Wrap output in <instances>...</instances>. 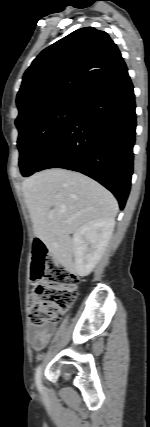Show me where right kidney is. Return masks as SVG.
Wrapping results in <instances>:
<instances>
[{
    "label": "right kidney",
    "mask_w": 150,
    "mask_h": 427,
    "mask_svg": "<svg viewBox=\"0 0 150 427\" xmlns=\"http://www.w3.org/2000/svg\"><path fill=\"white\" fill-rule=\"evenodd\" d=\"M115 227L114 219L92 221L73 235L74 270L79 276L89 275L101 259Z\"/></svg>",
    "instance_id": "ca27d5eb"
}]
</instances>
